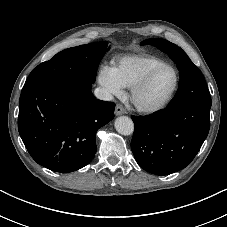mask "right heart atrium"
I'll use <instances>...</instances> for the list:
<instances>
[{"instance_id":"obj_1","label":"right heart atrium","mask_w":227,"mask_h":227,"mask_svg":"<svg viewBox=\"0 0 227 227\" xmlns=\"http://www.w3.org/2000/svg\"><path fill=\"white\" fill-rule=\"evenodd\" d=\"M98 82L109 96L119 97L123 94V87L117 81L110 67L105 66L100 70Z\"/></svg>"}]
</instances>
